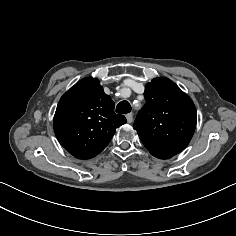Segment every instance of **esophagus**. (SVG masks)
Returning <instances> with one entry per match:
<instances>
[{
	"instance_id": "1",
	"label": "esophagus",
	"mask_w": 236,
	"mask_h": 236,
	"mask_svg": "<svg viewBox=\"0 0 236 236\" xmlns=\"http://www.w3.org/2000/svg\"><path fill=\"white\" fill-rule=\"evenodd\" d=\"M126 119L128 123H132L133 121V113L126 114Z\"/></svg>"
}]
</instances>
